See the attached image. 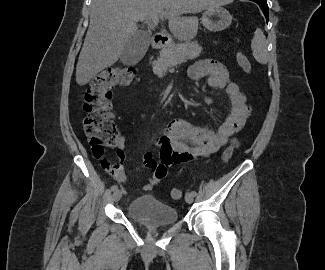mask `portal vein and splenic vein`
<instances>
[{"instance_id":"1","label":"portal vein and splenic vein","mask_w":325,"mask_h":270,"mask_svg":"<svg viewBox=\"0 0 325 270\" xmlns=\"http://www.w3.org/2000/svg\"><path fill=\"white\" fill-rule=\"evenodd\" d=\"M164 16V13L160 14V17H163ZM137 20H143L142 17H138Z\"/></svg>"}]
</instances>
